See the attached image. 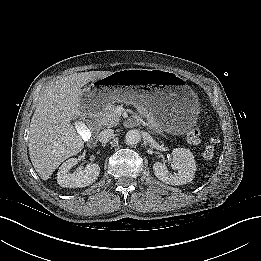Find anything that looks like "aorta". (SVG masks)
<instances>
[{"mask_svg": "<svg viewBox=\"0 0 261 261\" xmlns=\"http://www.w3.org/2000/svg\"><path fill=\"white\" fill-rule=\"evenodd\" d=\"M141 141V133L138 129L129 130L125 135L127 145H136Z\"/></svg>", "mask_w": 261, "mask_h": 261, "instance_id": "762f6f07", "label": "aorta"}]
</instances>
